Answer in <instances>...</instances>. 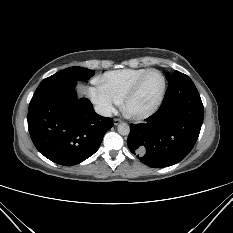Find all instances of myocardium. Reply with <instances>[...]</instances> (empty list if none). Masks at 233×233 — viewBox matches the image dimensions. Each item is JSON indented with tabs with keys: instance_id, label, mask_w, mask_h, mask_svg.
<instances>
[{
	"instance_id": "f54148a6",
	"label": "myocardium",
	"mask_w": 233,
	"mask_h": 233,
	"mask_svg": "<svg viewBox=\"0 0 233 233\" xmlns=\"http://www.w3.org/2000/svg\"><path fill=\"white\" fill-rule=\"evenodd\" d=\"M153 72L158 73L162 78V89H161V92H160V95H159L157 101L155 102V104L151 108H149L146 111L134 112V111L130 110V108H129L130 100L136 95V93L140 89L141 84H142L143 80L146 78V76L149 75L150 73H153ZM166 87H167V81H166L165 75L158 69H148L147 71L142 73L137 78V80L132 84V86L126 91V93L122 97V99H121L122 110L124 111V113L128 117L135 119V120H142V119H146V118L150 117L160 108V106L163 102V99L165 97Z\"/></svg>"
}]
</instances>
